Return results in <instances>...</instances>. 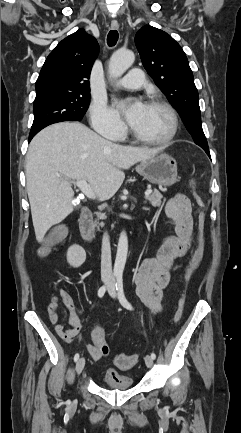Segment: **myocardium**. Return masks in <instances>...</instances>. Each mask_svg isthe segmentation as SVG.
<instances>
[{"mask_svg":"<svg viewBox=\"0 0 241 433\" xmlns=\"http://www.w3.org/2000/svg\"><path fill=\"white\" fill-rule=\"evenodd\" d=\"M147 105L148 106H159V107H162L168 111V113L170 114L171 119H172L171 131L164 138L149 139V138H145V137L141 136L133 128H131L132 136L137 141L144 143V144H147V145L161 146V145L168 144L169 142H171L175 138V136L178 132V129H179V117H178L177 111L175 110V108L170 103H168L167 101L162 100V99H152L147 103Z\"/></svg>","mask_w":241,"mask_h":433,"instance_id":"myocardium-1","label":"myocardium"}]
</instances>
